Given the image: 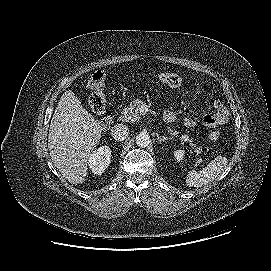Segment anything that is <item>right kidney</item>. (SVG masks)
<instances>
[{"label":"right kidney","instance_id":"1","mask_svg":"<svg viewBox=\"0 0 271 271\" xmlns=\"http://www.w3.org/2000/svg\"><path fill=\"white\" fill-rule=\"evenodd\" d=\"M111 162V149L109 146H101L95 150L88 159L89 168L96 175H101Z\"/></svg>","mask_w":271,"mask_h":271}]
</instances>
